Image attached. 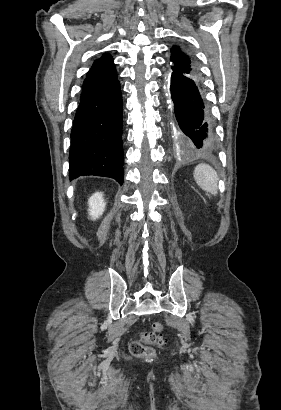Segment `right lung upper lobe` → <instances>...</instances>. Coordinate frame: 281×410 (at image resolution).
I'll use <instances>...</instances> for the list:
<instances>
[{"label":"right lung upper lobe","instance_id":"1","mask_svg":"<svg viewBox=\"0 0 281 410\" xmlns=\"http://www.w3.org/2000/svg\"><path fill=\"white\" fill-rule=\"evenodd\" d=\"M117 80V72L109 54L96 60L86 75L82 94L105 88Z\"/></svg>","mask_w":281,"mask_h":410}]
</instances>
